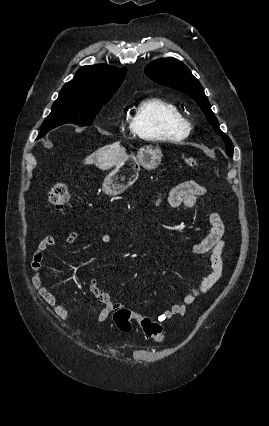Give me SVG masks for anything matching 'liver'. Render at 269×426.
Here are the masks:
<instances>
[{
    "label": "liver",
    "mask_w": 269,
    "mask_h": 426,
    "mask_svg": "<svg viewBox=\"0 0 269 426\" xmlns=\"http://www.w3.org/2000/svg\"><path fill=\"white\" fill-rule=\"evenodd\" d=\"M127 156L126 149L120 143H113L99 148L86 157L84 164H95L101 170H109L119 165Z\"/></svg>",
    "instance_id": "liver-1"
}]
</instances>
